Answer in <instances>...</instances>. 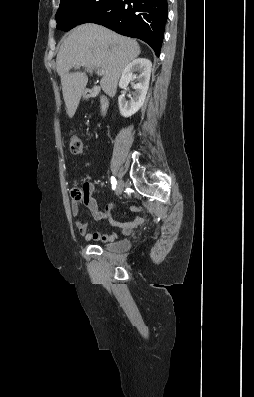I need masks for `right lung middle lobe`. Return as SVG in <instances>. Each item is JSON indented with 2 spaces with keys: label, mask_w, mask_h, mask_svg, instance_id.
I'll use <instances>...</instances> for the list:
<instances>
[{
  "label": "right lung middle lobe",
  "mask_w": 254,
  "mask_h": 397,
  "mask_svg": "<svg viewBox=\"0 0 254 397\" xmlns=\"http://www.w3.org/2000/svg\"><path fill=\"white\" fill-rule=\"evenodd\" d=\"M114 0H60L57 29L68 31L100 16Z\"/></svg>",
  "instance_id": "dd1d6c3e"
}]
</instances>
